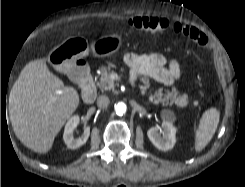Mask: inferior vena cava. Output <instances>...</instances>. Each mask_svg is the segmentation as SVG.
Returning a JSON list of instances; mask_svg holds the SVG:
<instances>
[{"instance_id": "obj_1", "label": "inferior vena cava", "mask_w": 245, "mask_h": 187, "mask_svg": "<svg viewBox=\"0 0 245 187\" xmlns=\"http://www.w3.org/2000/svg\"><path fill=\"white\" fill-rule=\"evenodd\" d=\"M109 103H110V100L105 95L99 96L98 99H97V106L99 108H107Z\"/></svg>"}]
</instances>
